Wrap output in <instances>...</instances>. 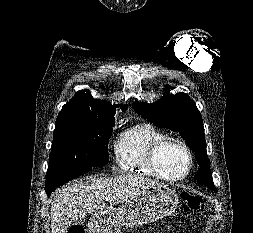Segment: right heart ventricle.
I'll use <instances>...</instances> for the list:
<instances>
[{
  "label": "right heart ventricle",
  "mask_w": 253,
  "mask_h": 233,
  "mask_svg": "<svg viewBox=\"0 0 253 233\" xmlns=\"http://www.w3.org/2000/svg\"><path fill=\"white\" fill-rule=\"evenodd\" d=\"M167 135L154 124L143 122L126 129L115 144V162L119 169L143 176L157 177L148 163L151 148Z\"/></svg>",
  "instance_id": "1"
}]
</instances>
